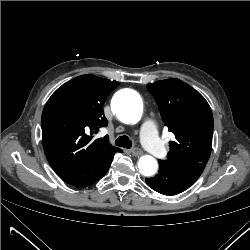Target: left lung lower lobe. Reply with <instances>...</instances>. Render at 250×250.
I'll return each instance as SVG.
<instances>
[{
    "instance_id": "left-lung-lower-lobe-1",
    "label": "left lung lower lobe",
    "mask_w": 250,
    "mask_h": 250,
    "mask_svg": "<svg viewBox=\"0 0 250 250\" xmlns=\"http://www.w3.org/2000/svg\"><path fill=\"white\" fill-rule=\"evenodd\" d=\"M159 166V173L145 180L149 187L164 195H174L188 189L205 168L200 163L168 165L160 160Z\"/></svg>"
}]
</instances>
